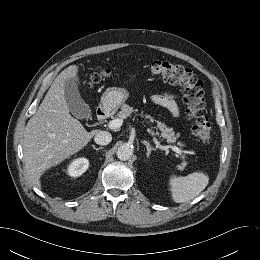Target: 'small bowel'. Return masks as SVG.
<instances>
[{"label": "small bowel", "instance_id": "obj_1", "mask_svg": "<svg viewBox=\"0 0 260 260\" xmlns=\"http://www.w3.org/2000/svg\"><path fill=\"white\" fill-rule=\"evenodd\" d=\"M152 102L167 109L174 117L179 116V98L173 93H159L152 97Z\"/></svg>", "mask_w": 260, "mask_h": 260}]
</instances>
